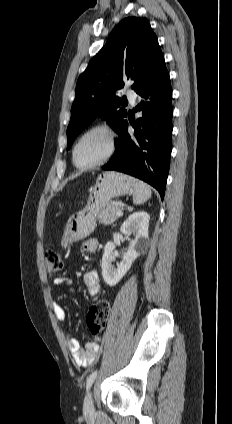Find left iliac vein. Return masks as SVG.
Wrapping results in <instances>:
<instances>
[{"instance_id":"4c4485c4","label":"left iliac vein","mask_w":232,"mask_h":424,"mask_svg":"<svg viewBox=\"0 0 232 424\" xmlns=\"http://www.w3.org/2000/svg\"><path fill=\"white\" fill-rule=\"evenodd\" d=\"M94 412V404L91 392H88L84 401V413L92 414Z\"/></svg>"}]
</instances>
